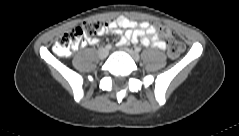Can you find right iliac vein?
I'll list each match as a JSON object with an SVG mask.
<instances>
[{
	"label": "right iliac vein",
	"instance_id": "obj_1",
	"mask_svg": "<svg viewBox=\"0 0 239 136\" xmlns=\"http://www.w3.org/2000/svg\"><path fill=\"white\" fill-rule=\"evenodd\" d=\"M108 49H106V48H100L99 50H98V57L100 58V59H105L107 56H108Z\"/></svg>",
	"mask_w": 239,
	"mask_h": 136
}]
</instances>
